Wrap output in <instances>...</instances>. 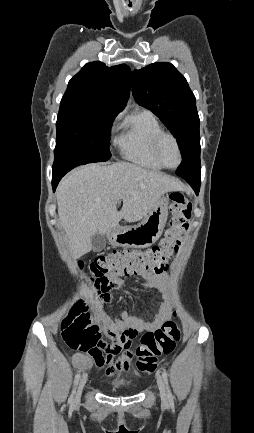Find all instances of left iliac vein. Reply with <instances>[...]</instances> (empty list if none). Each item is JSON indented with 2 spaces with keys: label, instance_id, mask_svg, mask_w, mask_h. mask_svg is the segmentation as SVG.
<instances>
[{
  "label": "left iliac vein",
  "instance_id": "obj_1",
  "mask_svg": "<svg viewBox=\"0 0 254 433\" xmlns=\"http://www.w3.org/2000/svg\"><path fill=\"white\" fill-rule=\"evenodd\" d=\"M157 385H158L162 400L167 401V394H166L165 385H164L162 378L159 375H157Z\"/></svg>",
  "mask_w": 254,
  "mask_h": 433
}]
</instances>
